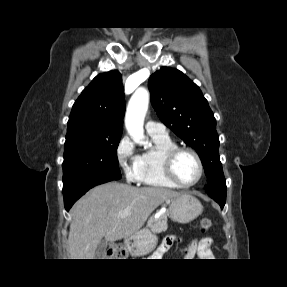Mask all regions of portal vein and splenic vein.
<instances>
[{
	"label": "portal vein and splenic vein",
	"instance_id": "1",
	"mask_svg": "<svg viewBox=\"0 0 287 287\" xmlns=\"http://www.w3.org/2000/svg\"><path fill=\"white\" fill-rule=\"evenodd\" d=\"M129 213H130V210H129V209H125V210H123V211H121V212L119 213V216H120L121 218H125V217H127V216L129 215Z\"/></svg>",
	"mask_w": 287,
	"mask_h": 287
}]
</instances>
